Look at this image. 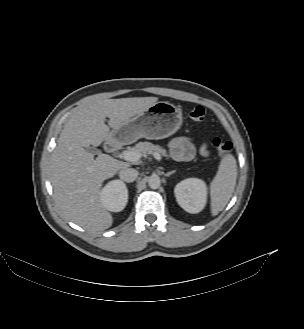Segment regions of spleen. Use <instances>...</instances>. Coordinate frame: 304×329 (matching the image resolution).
<instances>
[{
  "label": "spleen",
  "instance_id": "3e777b00",
  "mask_svg": "<svg viewBox=\"0 0 304 329\" xmlns=\"http://www.w3.org/2000/svg\"><path fill=\"white\" fill-rule=\"evenodd\" d=\"M237 179L236 159L232 154L225 155L220 162L218 171L210 183L211 213L216 216L229 202Z\"/></svg>",
  "mask_w": 304,
  "mask_h": 329
}]
</instances>
